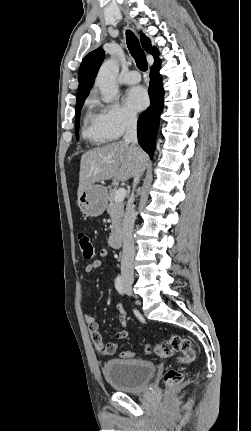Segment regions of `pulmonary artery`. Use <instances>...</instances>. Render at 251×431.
I'll list each match as a JSON object with an SVG mask.
<instances>
[{"label":"pulmonary artery","mask_w":251,"mask_h":431,"mask_svg":"<svg viewBox=\"0 0 251 431\" xmlns=\"http://www.w3.org/2000/svg\"><path fill=\"white\" fill-rule=\"evenodd\" d=\"M140 81V75L137 71L132 70L123 76V82L126 84H136Z\"/></svg>","instance_id":"pulmonary-artery-1"}]
</instances>
